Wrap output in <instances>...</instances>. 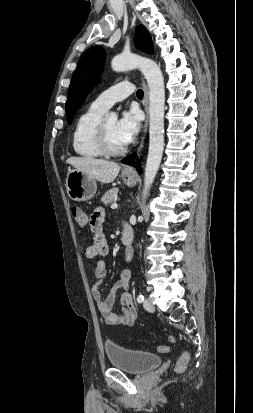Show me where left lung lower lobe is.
Instances as JSON below:
<instances>
[{
  "label": "left lung lower lobe",
  "mask_w": 253,
  "mask_h": 413,
  "mask_svg": "<svg viewBox=\"0 0 253 413\" xmlns=\"http://www.w3.org/2000/svg\"><path fill=\"white\" fill-rule=\"evenodd\" d=\"M135 158H137V157H136V154L134 153V154L124 158L122 160V162L125 163V164H129V165L137 167L138 173L141 174L142 168L140 167V161L138 160V158H137V161H135Z\"/></svg>",
  "instance_id": "left-lung-lower-lobe-1"
}]
</instances>
